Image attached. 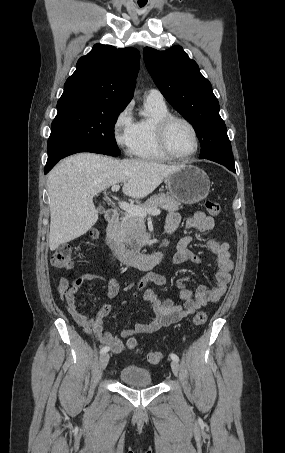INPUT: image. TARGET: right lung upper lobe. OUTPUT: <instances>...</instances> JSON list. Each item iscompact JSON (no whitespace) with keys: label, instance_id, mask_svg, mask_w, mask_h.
<instances>
[{"label":"right lung upper lobe","instance_id":"cb5924a9","mask_svg":"<svg viewBox=\"0 0 285 453\" xmlns=\"http://www.w3.org/2000/svg\"><path fill=\"white\" fill-rule=\"evenodd\" d=\"M139 64L135 48L95 44L78 60L59 101L99 100L126 107L133 97Z\"/></svg>","mask_w":285,"mask_h":453}]
</instances>
